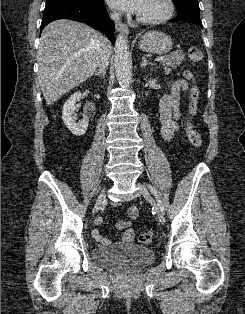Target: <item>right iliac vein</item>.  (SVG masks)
Segmentation results:
<instances>
[{"label":"right iliac vein","instance_id":"right-iliac-vein-1","mask_svg":"<svg viewBox=\"0 0 245 314\" xmlns=\"http://www.w3.org/2000/svg\"><path fill=\"white\" fill-rule=\"evenodd\" d=\"M105 188L102 190V192L100 193L97 201H96V204H95V207H99V205L101 204V202L103 201V199L105 198Z\"/></svg>","mask_w":245,"mask_h":314}]
</instances>
